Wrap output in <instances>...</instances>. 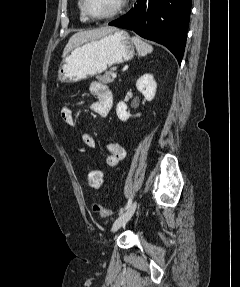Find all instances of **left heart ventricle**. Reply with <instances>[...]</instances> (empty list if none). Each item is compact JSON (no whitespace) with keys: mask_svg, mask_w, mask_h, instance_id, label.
I'll use <instances>...</instances> for the list:
<instances>
[{"mask_svg":"<svg viewBox=\"0 0 240 287\" xmlns=\"http://www.w3.org/2000/svg\"><path fill=\"white\" fill-rule=\"evenodd\" d=\"M120 0H88L89 10L96 16L109 14Z\"/></svg>","mask_w":240,"mask_h":287,"instance_id":"b2bd125f","label":"left heart ventricle"}]
</instances>
